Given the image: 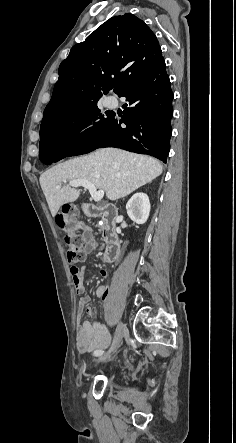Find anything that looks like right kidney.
<instances>
[{
    "label": "right kidney",
    "instance_id": "right-kidney-1",
    "mask_svg": "<svg viewBox=\"0 0 236 443\" xmlns=\"http://www.w3.org/2000/svg\"><path fill=\"white\" fill-rule=\"evenodd\" d=\"M130 219L138 224H144L150 213V201L145 193H136L126 204Z\"/></svg>",
    "mask_w": 236,
    "mask_h": 443
}]
</instances>
